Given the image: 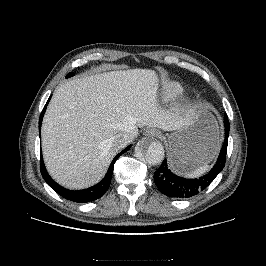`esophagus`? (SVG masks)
Instances as JSON below:
<instances>
[{
    "label": "esophagus",
    "mask_w": 266,
    "mask_h": 266,
    "mask_svg": "<svg viewBox=\"0 0 266 266\" xmlns=\"http://www.w3.org/2000/svg\"><path fill=\"white\" fill-rule=\"evenodd\" d=\"M144 135H146L148 137H160L161 132L158 129L150 128L144 132Z\"/></svg>",
    "instance_id": "34e87169"
}]
</instances>
